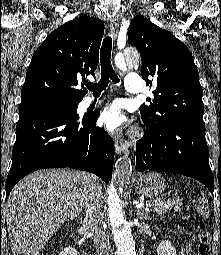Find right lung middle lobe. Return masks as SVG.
Here are the masks:
<instances>
[{
    "label": "right lung middle lobe",
    "instance_id": "dd1d6c3e",
    "mask_svg": "<svg viewBox=\"0 0 221 255\" xmlns=\"http://www.w3.org/2000/svg\"><path fill=\"white\" fill-rule=\"evenodd\" d=\"M79 102L76 103H46L42 105L33 106L30 108H51V109H58L61 111L66 112L69 116L73 118H79L77 114V105Z\"/></svg>",
    "mask_w": 221,
    "mask_h": 255
}]
</instances>
